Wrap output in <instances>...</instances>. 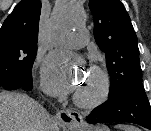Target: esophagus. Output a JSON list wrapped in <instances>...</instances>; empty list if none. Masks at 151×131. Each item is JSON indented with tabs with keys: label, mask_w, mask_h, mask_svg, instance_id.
I'll return each mask as SVG.
<instances>
[{
	"label": "esophagus",
	"mask_w": 151,
	"mask_h": 131,
	"mask_svg": "<svg viewBox=\"0 0 151 131\" xmlns=\"http://www.w3.org/2000/svg\"><path fill=\"white\" fill-rule=\"evenodd\" d=\"M58 119L67 127H77L82 122V115L73 110H61L57 113Z\"/></svg>",
	"instance_id": "obj_1"
}]
</instances>
